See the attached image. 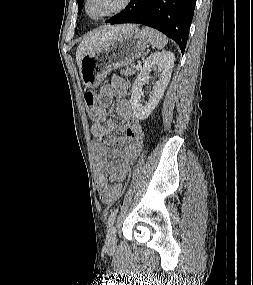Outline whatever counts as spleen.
I'll return each instance as SVG.
<instances>
[{
	"instance_id": "spleen-1",
	"label": "spleen",
	"mask_w": 253,
	"mask_h": 285,
	"mask_svg": "<svg viewBox=\"0 0 253 285\" xmlns=\"http://www.w3.org/2000/svg\"><path fill=\"white\" fill-rule=\"evenodd\" d=\"M142 31L144 35L147 36L153 47H156L157 49H162L166 46L168 39L159 31L149 27H143Z\"/></svg>"
}]
</instances>
